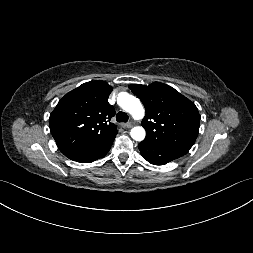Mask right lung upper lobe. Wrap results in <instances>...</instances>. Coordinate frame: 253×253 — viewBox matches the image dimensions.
Returning a JSON list of instances; mask_svg holds the SVG:
<instances>
[{
    "label": "right lung upper lobe",
    "instance_id": "cb5924a9",
    "mask_svg": "<svg viewBox=\"0 0 253 253\" xmlns=\"http://www.w3.org/2000/svg\"><path fill=\"white\" fill-rule=\"evenodd\" d=\"M112 87L105 81L86 82L67 93L50 114V130L60 151L69 156L117 134L108 103Z\"/></svg>",
    "mask_w": 253,
    "mask_h": 253
}]
</instances>
